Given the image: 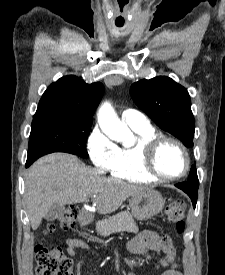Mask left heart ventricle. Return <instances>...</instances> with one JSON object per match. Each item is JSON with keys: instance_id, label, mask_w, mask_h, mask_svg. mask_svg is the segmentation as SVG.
<instances>
[{"instance_id": "1", "label": "left heart ventricle", "mask_w": 225, "mask_h": 275, "mask_svg": "<svg viewBox=\"0 0 225 275\" xmlns=\"http://www.w3.org/2000/svg\"><path fill=\"white\" fill-rule=\"evenodd\" d=\"M156 166L163 175H177L184 167V157L181 150L173 143H165L156 156Z\"/></svg>"}]
</instances>
